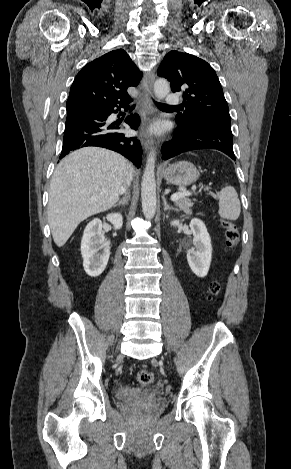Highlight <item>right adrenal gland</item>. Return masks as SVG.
I'll return each mask as SVG.
<instances>
[{
    "label": "right adrenal gland",
    "mask_w": 291,
    "mask_h": 469,
    "mask_svg": "<svg viewBox=\"0 0 291 469\" xmlns=\"http://www.w3.org/2000/svg\"><path fill=\"white\" fill-rule=\"evenodd\" d=\"M129 199H130V194L129 192H127L125 196L121 200H119L117 204H115V207L120 206V205H127L129 202Z\"/></svg>",
    "instance_id": "2a0ac1e0"
}]
</instances>
